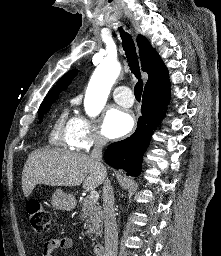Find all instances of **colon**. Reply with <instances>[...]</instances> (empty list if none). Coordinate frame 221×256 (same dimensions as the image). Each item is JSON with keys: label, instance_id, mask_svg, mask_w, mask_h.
<instances>
[{"label": "colon", "instance_id": "obj_1", "mask_svg": "<svg viewBox=\"0 0 221 256\" xmlns=\"http://www.w3.org/2000/svg\"><path fill=\"white\" fill-rule=\"evenodd\" d=\"M26 210L30 225L34 231L41 232L49 227L51 216L40 201L35 199L29 200Z\"/></svg>", "mask_w": 221, "mask_h": 256}]
</instances>
